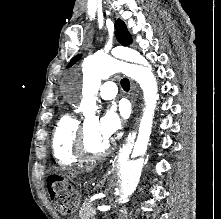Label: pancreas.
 <instances>
[{
  "label": "pancreas",
  "mask_w": 221,
  "mask_h": 219,
  "mask_svg": "<svg viewBox=\"0 0 221 219\" xmlns=\"http://www.w3.org/2000/svg\"><path fill=\"white\" fill-rule=\"evenodd\" d=\"M94 204L89 200H86L79 211V216L81 219H92L96 214Z\"/></svg>",
  "instance_id": "cf45deb5"
}]
</instances>
